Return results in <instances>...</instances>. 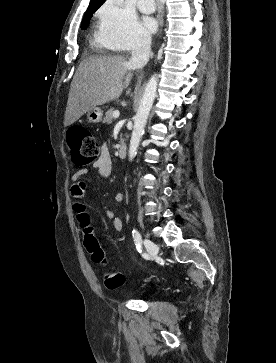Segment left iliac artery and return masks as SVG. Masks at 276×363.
Returning <instances> with one entry per match:
<instances>
[{"mask_svg":"<svg viewBox=\"0 0 276 363\" xmlns=\"http://www.w3.org/2000/svg\"><path fill=\"white\" fill-rule=\"evenodd\" d=\"M132 235H133L137 250L139 252H141V236H140L139 232L136 229H133Z\"/></svg>","mask_w":276,"mask_h":363,"instance_id":"left-iliac-artery-1","label":"left iliac artery"}]
</instances>
